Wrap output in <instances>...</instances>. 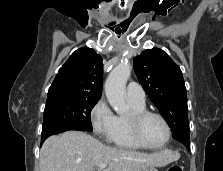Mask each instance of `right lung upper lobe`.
<instances>
[{"label":"right lung upper lobe","instance_id":"obj_1","mask_svg":"<svg viewBox=\"0 0 223 171\" xmlns=\"http://www.w3.org/2000/svg\"><path fill=\"white\" fill-rule=\"evenodd\" d=\"M102 57L94 49L82 47L73 52L59 69L47 99L61 96L101 97Z\"/></svg>","mask_w":223,"mask_h":171}]
</instances>
